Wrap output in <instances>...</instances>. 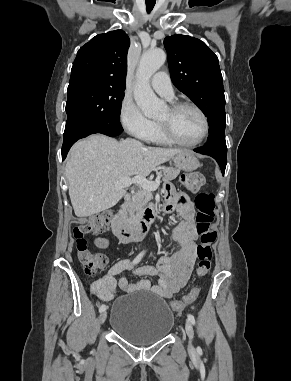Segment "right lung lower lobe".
I'll use <instances>...</instances> for the list:
<instances>
[{
    "label": "right lung lower lobe",
    "mask_w": 291,
    "mask_h": 381,
    "mask_svg": "<svg viewBox=\"0 0 291 381\" xmlns=\"http://www.w3.org/2000/svg\"><path fill=\"white\" fill-rule=\"evenodd\" d=\"M73 130H75V127H72ZM123 131V128L120 123H109V124H100L96 125L90 129H87L76 136H64L63 140V146H62V160H64L67 156V153L71 146L79 139L84 138L88 135L95 134V133H101L105 134L110 137L117 136L121 134Z\"/></svg>",
    "instance_id": "right-lung-lower-lobe-1"
}]
</instances>
